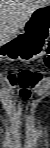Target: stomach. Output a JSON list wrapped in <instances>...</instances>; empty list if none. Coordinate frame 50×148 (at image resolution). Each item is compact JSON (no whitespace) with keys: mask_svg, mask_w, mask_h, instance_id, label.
Masks as SVG:
<instances>
[{"mask_svg":"<svg viewBox=\"0 0 50 148\" xmlns=\"http://www.w3.org/2000/svg\"><path fill=\"white\" fill-rule=\"evenodd\" d=\"M24 41L16 46H6L0 54L1 61L30 62L40 57L50 38V5L37 9L24 25ZM9 41L3 43L7 44ZM2 44V45H3Z\"/></svg>","mask_w":50,"mask_h":148,"instance_id":"stomach-1","label":"stomach"}]
</instances>
